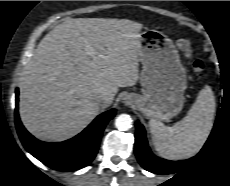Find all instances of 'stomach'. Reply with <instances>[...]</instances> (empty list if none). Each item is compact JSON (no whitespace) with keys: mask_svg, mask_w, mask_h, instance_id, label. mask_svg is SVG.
Listing matches in <instances>:
<instances>
[{"mask_svg":"<svg viewBox=\"0 0 230 186\" xmlns=\"http://www.w3.org/2000/svg\"><path fill=\"white\" fill-rule=\"evenodd\" d=\"M139 59L142 95L129 94L131 102L145 117L166 121L183 108L187 85L186 70L178 50L162 32L146 30L140 34Z\"/></svg>","mask_w":230,"mask_h":186,"instance_id":"1","label":"stomach"}]
</instances>
